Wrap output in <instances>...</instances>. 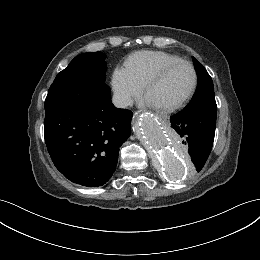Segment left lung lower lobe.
I'll return each instance as SVG.
<instances>
[{
  "mask_svg": "<svg viewBox=\"0 0 260 260\" xmlns=\"http://www.w3.org/2000/svg\"><path fill=\"white\" fill-rule=\"evenodd\" d=\"M217 106L204 104L182 111L170 117L169 125L182 142L193 162V169L200 172L211 152Z\"/></svg>",
  "mask_w": 260,
  "mask_h": 260,
  "instance_id": "left-lung-lower-lobe-1",
  "label": "left lung lower lobe"
}]
</instances>
